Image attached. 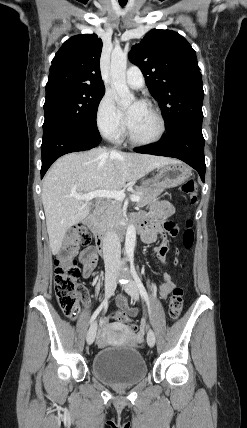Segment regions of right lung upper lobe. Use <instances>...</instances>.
I'll return each instance as SVG.
<instances>
[{
    "mask_svg": "<svg viewBox=\"0 0 247 428\" xmlns=\"http://www.w3.org/2000/svg\"><path fill=\"white\" fill-rule=\"evenodd\" d=\"M102 40L95 34L76 35L63 43L50 70L46 92L62 88L105 90L100 73Z\"/></svg>",
    "mask_w": 247,
    "mask_h": 428,
    "instance_id": "1",
    "label": "right lung upper lobe"
}]
</instances>
